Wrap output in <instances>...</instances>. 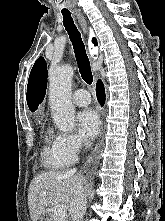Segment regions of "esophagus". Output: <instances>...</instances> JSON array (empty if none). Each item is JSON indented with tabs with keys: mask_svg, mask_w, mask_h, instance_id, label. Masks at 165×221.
<instances>
[{
	"mask_svg": "<svg viewBox=\"0 0 165 221\" xmlns=\"http://www.w3.org/2000/svg\"><path fill=\"white\" fill-rule=\"evenodd\" d=\"M75 15L78 18V21H79V24L81 26L83 33L86 35L88 32V28H87V23H86L84 16L82 15L80 10H75Z\"/></svg>",
	"mask_w": 165,
	"mask_h": 221,
	"instance_id": "obj_1",
	"label": "esophagus"
}]
</instances>
